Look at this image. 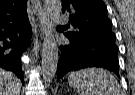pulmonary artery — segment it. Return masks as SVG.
<instances>
[{
  "mask_svg": "<svg viewBox=\"0 0 135 95\" xmlns=\"http://www.w3.org/2000/svg\"><path fill=\"white\" fill-rule=\"evenodd\" d=\"M56 21L58 23H66L67 22V17L66 16H61V15H57L56 16Z\"/></svg>",
  "mask_w": 135,
  "mask_h": 95,
  "instance_id": "e3ab8cb5",
  "label": "pulmonary artery"
}]
</instances>
